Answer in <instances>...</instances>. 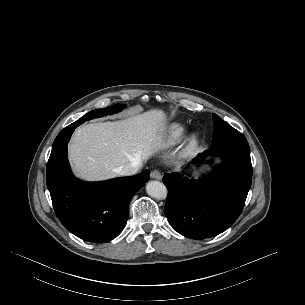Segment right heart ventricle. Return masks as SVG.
I'll list each match as a JSON object with an SVG mask.
<instances>
[{
	"mask_svg": "<svg viewBox=\"0 0 305 305\" xmlns=\"http://www.w3.org/2000/svg\"><path fill=\"white\" fill-rule=\"evenodd\" d=\"M184 133V125L180 123H172L167 129V139L170 142H177L184 136Z\"/></svg>",
	"mask_w": 305,
	"mask_h": 305,
	"instance_id": "right-heart-ventricle-1",
	"label": "right heart ventricle"
}]
</instances>
